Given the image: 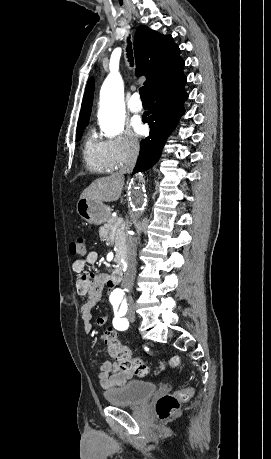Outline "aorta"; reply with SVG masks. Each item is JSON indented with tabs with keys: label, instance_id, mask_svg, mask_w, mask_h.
Masks as SVG:
<instances>
[{
	"label": "aorta",
	"instance_id": "762f6f07",
	"mask_svg": "<svg viewBox=\"0 0 271 459\" xmlns=\"http://www.w3.org/2000/svg\"><path fill=\"white\" fill-rule=\"evenodd\" d=\"M124 86L119 73L112 72L105 79L100 91L99 122L108 135H118L124 128ZM139 178V179H138ZM146 183L140 176L132 183L129 193L130 217L137 221L147 202Z\"/></svg>",
	"mask_w": 271,
	"mask_h": 459
}]
</instances>
